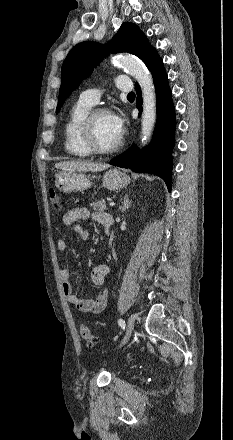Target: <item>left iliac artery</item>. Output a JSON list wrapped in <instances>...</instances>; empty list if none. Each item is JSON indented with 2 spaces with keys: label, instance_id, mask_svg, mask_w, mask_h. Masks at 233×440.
<instances>
[{
  "label": "left iliac artery",
  "instance_id": "left-iliac-artery-1",
  "mask_svg": "<svg viewBox=\"0 0 233 440\" xmlns=\"http://www.w3.org/2000/svg\"><path fill=\"white\" fill-rule=\"evenodd\" d=\"M118 323L122 329H125V321L123 319H119Z\"/></svg>",
  "mask_w": 233,
  "mask_h": 440
}]
</instances>
